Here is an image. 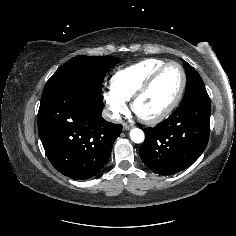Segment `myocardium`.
Listing matches in <instances>:
<instances>
[{
	"mask_svg": "<svg viewBox=\"0 0 236 236\" xmlns=\"http://www.w3.org/2000/svg\"><path fill=\"white\" fill-rule=\"evenodd\" d=\"M170 66H176L179 68L180 72H181V76H182V81H181V85H180V89L176 95V97L174 98V100L169 104V106L167 108H165L162 112H160L159 114L153 116V117H144L141 116L137 110H136V105L137 102L139 101V99L141 97H143L153 86V84L157 81V79L162 75V73L169 68ZM186 85H187V75H186V71L184 69V67L175 61H171V62H167L165 63L163 66H161L160 68H158L143 84L142 86L136 91V93L133 95L132 99H131V109L134 112V114L144 123L149 124V125H155L158 124L160 122H162L163 120H165L169 115H171V113L176 109V107L178 106V104L180 103L185 89H186Z\"/></svg>",
	"mask_w": 236,
	"mask_h": 236,
	"instance_id": "obj_1",
	"label": "myocardium"
}]
</instances>
